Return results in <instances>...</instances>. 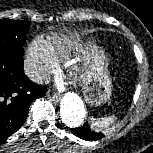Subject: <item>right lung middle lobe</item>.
<instances>
[{"mask_svg": "<svg viewBox=\"0 0 153 153\" xmlns=\"http://www.w3.org/2000/svg\"><path fill=\"white\" fill-rule=\"evenodd\" d=\"M31 23L28 21L0 20V55L22 57V46Z\"/></svg>", "mask_w": 153, "mask_h": 153, "instance_id": "right-lung-middle-lobe-1", "label": "right lung middle lobe"}]
</instances>
